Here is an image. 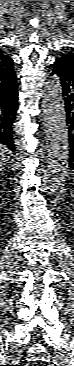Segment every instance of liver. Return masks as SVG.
Listing matches in <instances>:
<instances>
[{
    "label": "liver",
    "instance_id": "6515ba94",
    "mask_svg": "<svg viewBox=\"0 0 74 366\" xmlns=\"http://www.w3.org/2000/svg\"><path fill=\"white\" fill-rule=\"evenodd\" d=\"M11 154L10 150L1 145L0 146V162H1V165L2 163L6 162L8 159H9V155Z\"/></svg>",
    "mask_w": 74,
    "mask_h": 366
}]
</instances>
